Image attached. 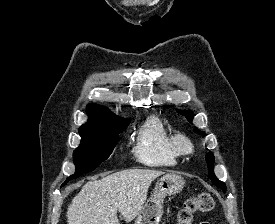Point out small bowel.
Listing matches in <instances>:
<instances>
[{
	"label": "small bowel",
	"instance_id": "c3829d8e",
	"mask_svg": "<svg viewBox=\"0 0 275 224\" xmlns=\"http://www.w3.org/2000/svg\"><path fill=\"white\" fill-rule=\"evenodd\" d=\"M200 224H209V223H207V222H201Z\"/></svg>",
	"mask_w": 275,
	"mask_h": 224
}]
</instances>
